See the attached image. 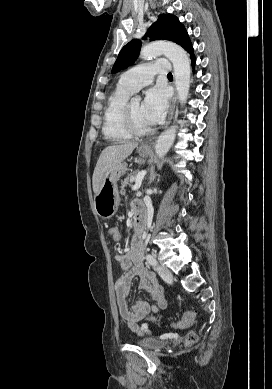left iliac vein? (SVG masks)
Here are the masks:
<instances>
[{
    "label": "left iliac vein",
    "mask_w": 272,
    "mask_h": 389,
    "mask_svg": "<svg viewBox=\"0 0 272 389\" xmlns=\"http://www.w3.org/2000/svg\"><path fill=\"white\" fill-rule=\"evenodd\" d=\"M156 270L158 274L163 278L165 281H171L172 280V273L171 271L164 266H157Z\"/></svg>",
    "instance_id": "4c4485c4"
}]
</instances>
